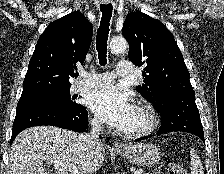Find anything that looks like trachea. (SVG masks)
<instances>
[{
	"label": "trachea",
	"mask_w": 224,
	"mask_h": 174,
	"mask_svg": "<svg viewBox=\"0 0 224 174\" xmlns=\"http://www.w3.org/2000/svg\"><path fill=\"white\" fill-rule=\"evenodd\" d=\"M100 10L102 12V18L100 21V26L97 31L96 39V49L98 52V59L100 65L106 64V55H107V41L109 34V25L112 17V4H101ZM78 73H76V76Z\"/></svg>",
	"instance_id": "3493384b"
}]
</instances>
